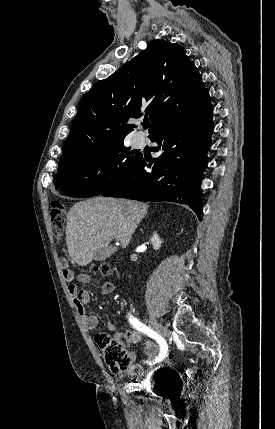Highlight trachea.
Listing matches in <instances>:
<instances>
[{
	"label": "trachea",
	"mask_w": 275,
	"mask_h": 429,
	"mask_svg": "<svg viewBox=\"0 0 275 429\" xmlns=\"http://www.w3.org/2000/svg\"><path fill=\"white\" fill-rule=\"evenodd\" d=\"M142 126H143V128H144V129H147V128L149 127V121L144 122V123L142 124Z\"/></svg>",
	"instance_id": "3493384b"
}]
</instances>
